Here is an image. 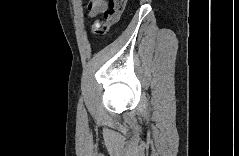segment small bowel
<instances>
[{
  "instance_id": "obj_1",
  "label": "small bowel",
  "mask_w": 239,
  "mask_h": 156,
  "mask_svg": "<svg viewBox=\"0 0 239 156\" xmlns=\"http://www.w3.org/2000/svg\"><path fill=\"white\" fill-rule=\"evenodd\" d=\"M108 7V3L105 0H92L87 5L88 13L91 17H95L103 12Z\"/></svg>"
}]
</instances>
